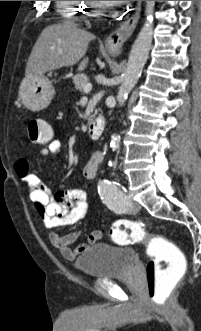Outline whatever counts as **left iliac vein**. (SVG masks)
<instances>
[{"instance_id": "1", "label": "left iliac vein", "mask_w": 201, "mask_h": 331, "mask_svg": "<svg viewBox=\"0 0 201 331\" xmlns=\"http://www.w3.org/2000/svg\"><path fill=\"white\" fill-rule=\"evenodd\" d=\"M140 208H141V206H140V204L138 202H134V201L132 202V204H131V210L133 212H138L140 210Z\"/></svg>"}]
</instances>
